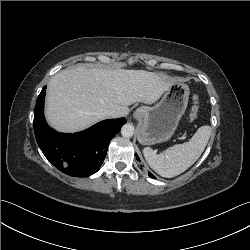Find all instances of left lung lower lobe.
Segmentation results:
<instances>
[{
	"label": "left lung lower lobe",
	"mask_w": 250,
	"mask_h": 250,
	"mask_svg": "<svg viewBox=\"0 0 250 250\" xmlns=\"http://www.w3.org/2000/svg\"><path fill=\"white\" fill-rule=\"evenodd\" d=\"M136 159L139 160V157L137 156ZM148 174H149V177L154 178V176L150 172Z\"/></svg>",
	"instance_id": "obj_1"
}]
</instances>
